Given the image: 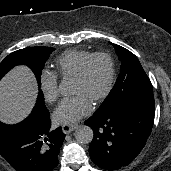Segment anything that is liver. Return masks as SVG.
<instances>
[{"mask_svg": "<svg viewBox=\"0 0 171 171\" xmlns=\"http://www.w3.org/2000/svg\"><path fill=\"white\" fill-rule=\"evenodd\" d=\"M36 97L33 72L27 66H16L0 81V121L20 122L32 111Z\"/></svg>", "mask_w": 171, "mask_h": 171, "instance_id": "1", "label": "liver"}]
</instances>
